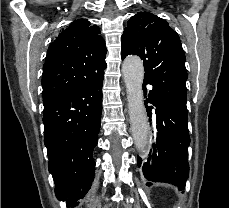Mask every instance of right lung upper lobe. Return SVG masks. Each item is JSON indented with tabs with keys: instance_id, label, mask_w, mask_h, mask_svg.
Listing matches in <instances>:
<instances>
[{
	"instance_id": "obj_1",
	"label": "right lung upper lobe",
	"mask_w": 229,
	"mask_h": 208,
	"mask_svg": "<svg viewBox=\"0 0 229 208\" xmlns=\"http://www.w3.org/2000/svg\"><path fill=\"white\" fill-rule=\"evenodd\" d=\"M100 29L89 21L74 20L50 44L43 66V104L96 78L107 64Z\"/></svg>"
}]
</instances>
